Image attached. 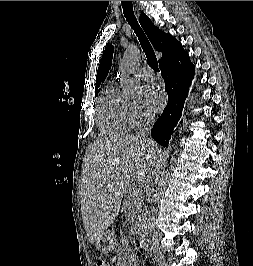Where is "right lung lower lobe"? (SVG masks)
I'll list each match as a JSON object with an SVG mask.
<instances>
[{
    "instance_id": "1",
    "label": "right lung lower lobe",
    "mask_w": 253,
    "mask_h": 266,
    "mask_svg": "<svg viewBox=\"0 0 253 266\" xmlns=\"http://www.w3.org/2000/svg\"><path fill=\"white\" fill-rule=\"evenodd\" d=\"M168 93V103L155 122L151 136L164 147H168L171 133L179 121L194 76L195 67L183 49L172 59L159 64Z\"/></svg>"
}]
</instances>
